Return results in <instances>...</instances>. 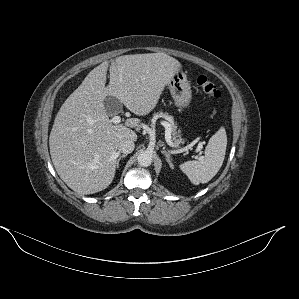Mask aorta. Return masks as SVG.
<instances>
[{
    "label": "aorta",
    "instance_id": "1",
    "mask_svg": "<svg viewBox=\"0 0 299 299\" xmlns=\"http://www.w3.org/2000/svg\"><path fill=\"white\" fill-rule=\"evenodd\" d=\"M138 164L143 167H148L153 161L152 153L148 151H142L137 157Z\"/></svg>",
    "mask_w": 299,
    "mask_h": 299
}]
</instances>
